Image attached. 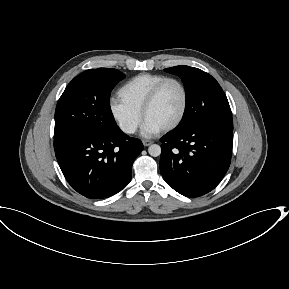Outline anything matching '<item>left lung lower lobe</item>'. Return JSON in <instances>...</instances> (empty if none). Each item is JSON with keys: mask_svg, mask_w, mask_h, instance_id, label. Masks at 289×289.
<instances>
[{"mask_svg": "<svg viewBox=\"0 0 289 289\" xmlns=\"http://www.w3.org/2000/svg\"><path fill=\"white\" fill-rule=\"evenodd\" d=\"M233 129L194 124L168 132L161 138L160 171L178 193L199 197L213 190L227 172Z\"/></svg>", "mask_w": 289, "mask_h": 289, "instance_id": "0a47b994", "label": "left lung lower lobe"}]
</instances>
